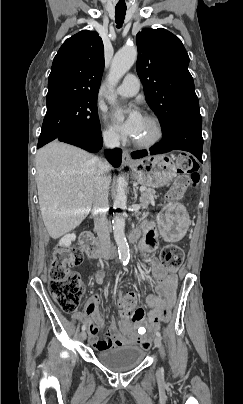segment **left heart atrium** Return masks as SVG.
Returning <instances> with one entry per match:
<instances>
[{
  "label": "left heart atrium",
  "instance_id": "1",
  "mask_svg": "<svg viewBox=\"0 0 243 404\" xmlns=\"http://www.w3.org/2000/svg\"><path fill=\"white\" fill-rule=\"evenodd\" d=\"M111 120L115 129L125 136L136 139L140 134L144 117L137 108H133L125 116L121 110L113 111Z\"/></svg>",
  "mask_w": 243,
  "mask_h": 404
}]
</instances>
